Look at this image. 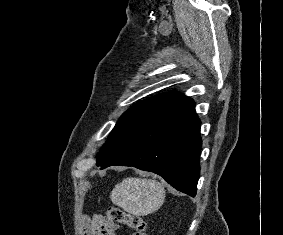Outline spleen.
<instances>
[{
	"mask_svg": "<svg viewBox=\"0 0 283 235\" xmlns=\"http://www.w3.org/2000/svg\"><path fill=\"white\" fill-rule=\"evenodd\" d=\"M164 186L151 179L125 178L112 190L113 204L135 216H146L158 210L165 199Z\"/></svg>",
	"mask_w": 283,
	"mask_h": 235,
	"instance_id": "3e777b00",
	"label": "spleen"
}]
</instances>
